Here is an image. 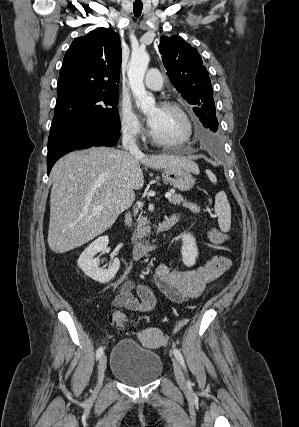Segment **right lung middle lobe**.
<instances>
[{
    "instance_id": "dd1d6c3e",
    "label": "right lung middle lobe",
    "mask_w": 299,
    "mask_h": 427,
    "mask_svg": "<svg viewBox=\"0 0 299 427\" xmlns=\"http://www.w3.org/2000/svg\"><path fill=\"white\" fill-rule=\"evenodd\" d=\"M117 92H86L57 100L50 131L75 123L120 129Z\"/></svg>"
}]
</instances>
